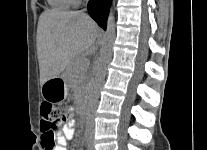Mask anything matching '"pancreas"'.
Returning <instances> with one entry per match:
<instances>
[{
  "label": "pancreas",
  "instance_id": "pancreas-1",
  "mask_svg": "<svg viewBox=\"0 0 207 150\" xmlns=\"http://www.w3.org/2000/svg\"><path fill=\"white\" fill-rule=\"evenodd\" d=\"M87 65L88 63L85 57L78 58L69 65L66 75L69 82L73 84L74 87L80 85L81 80L84 79V73Z\"/></svg>",
  "mask_w": 207,
  "mask_h": 150
}]
</instances>
